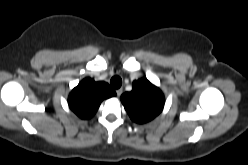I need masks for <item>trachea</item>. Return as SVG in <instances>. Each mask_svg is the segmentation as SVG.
<instances>
[{"mask_svg":"<svg viewBox=\"0 0 248 165\" xmlns=\"http://www.w3.org/2000/svg\"><path fill=\"white\" fill-rule=\"evenodd\" d=\"M110 84L114 89H118L122 85V79L119 76H114L111 78Z\"/></svg>","mask_w":248,"mask_h":165,"instance_id":"obj_1","label":"trachea"}]
</instances>
